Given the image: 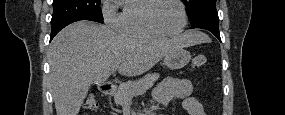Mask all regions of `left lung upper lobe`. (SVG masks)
<instances>
[{
	"mask_svg": "<svg viewBox=\"0 0 285 115\" xmlns=\"http://www.w3.org/2000/svg\"><path fill=\"white\" fill-rule=\"evenodd\" d=\"M186 6V12L192 23L200 15L216 11V0H182Z\"/></svg>",
	"mask_w": 285,
	"mask_h": 115,
	"instance_id": "left-lung-upper-lobe-1",
	"label": "left lung upper lobe"
}]
</instances>
